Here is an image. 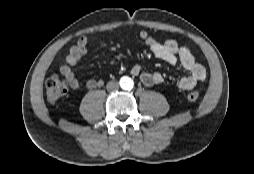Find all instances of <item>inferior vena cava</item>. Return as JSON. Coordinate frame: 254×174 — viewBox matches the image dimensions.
<instances>
[{"label": "inferior vena cava", "instance_id": "1", "mask_svg": "<svg viewBox=\"0 0 254 174\" xmlns=\"http://www.w3.org/2000/svg\"><path fill=\"white\" fill-rule=\"evenodd\" d=\"M106 88L108 91H116L119 89V83L116 81H110L107 83Z\"/></svg>", "mask_w": 254, "mask_h": 174}]
</instances>
